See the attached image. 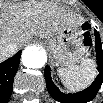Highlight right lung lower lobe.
I'll return each mask as SVG.
<instances>
[{"label": "right lung lower lobe", "instance_id": "1", "mask_svg": "<svg viewBox=\"0 0 103 103\" xmlns=\"http://www.w3.org/2000/svg\"><path fill=\"white\" fill-rule=\"evenodd\" d=\"M20 55L21 51L0 64L1 93L8 95L12 92L13 79L19 66Z\"/></svg>", "mask_w": 103, "mask_h": 103}]
</instances>
